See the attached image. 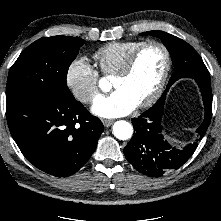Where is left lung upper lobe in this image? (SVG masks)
Here are the masks:
<instances>
[{
	"label": "left lung upper lobe",
	"instance_id": "obj_1",
	"mask_svg": "<svg viewBox=\"0 0 221 221\" xmlns=\"http://www.w3.org/2000/svg\"><path fill=\"white\" fill-rule=\"evenodd\" d=\"M140 35H152L160 38L170 52L174 65V73L172 74L167 87L183 77L210 82V75L202 58L188 43L163 31H148L141 33Z\"/></svg>",
	"mask_w": 221,
	"mask_h": 221
}]
</instances>
